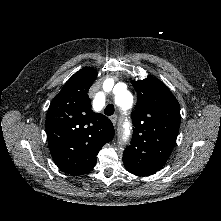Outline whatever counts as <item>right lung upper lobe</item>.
Masks as SVG:
<instances>
[{"mask_svg": "<svg viewBox=\"0 0 221 221\" xmlns=\"http://www.w3.org/2000/svg\"><path fill=\"white\" fill-rule=\"evenodd\" d=\"M96 77L97 71L91 67L75 73L52 100L46 115L52 158L73 176L89 172L102 146L114 137L112 122L91 109L88 91Z\"/></svg>", "mask_w": 221, "mask_h": 221, "instance_id": "right-lung-upper-lobe-1", "label": "right lung upper lobe"}]
</instances>
